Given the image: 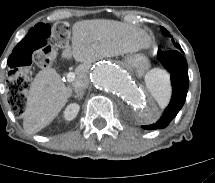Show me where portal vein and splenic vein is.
I'll return each instance as SVG.
<instances>
[{"label": "portal vein and splenic vein", "mask_w": 215, "mask_h": 183, "mask_svg": "<svg viewBox=\"0 0 215 183\" xmlns=\"http://www.w3.org/2000/svg\"><path fill=\"white\" fill-rule=\"evenodd\" d=\"M75 77H76V75H75L74 72H69V73L67 74V80H68L69 82L74 81V80H75Z\"/></svg>", "instance_id": "portal-vein-and-splenic-vein-1"}]
</instances>
